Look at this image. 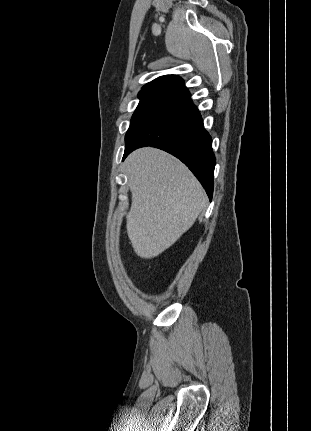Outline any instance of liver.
Returning <instances> with one entry per match:
<instances>
[{
  "label": "liver",
  "mask_w": 311,
  "mask_h": 431,
  "mask_svg": "<svg viewBox=\"0 0 311 431\" xmlns=\"http://www.w3.org/2000/svg\"><path fill=\"white\" fill-rule=\"evenodd\" d=\"M126 172L132 194L128 237L137 255L156 257L192 227L207 196L190 170L162 150H135Z\"/></svg>",
  "instance_id": "6515ba94"
}]
</instances>
